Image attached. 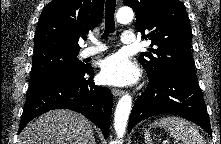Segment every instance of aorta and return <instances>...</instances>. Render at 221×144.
I'll use <instances>...</instances> for the list:
<instances>
[{
	"instance_id": "762f6f07",
	"label": "aorta",
	"mask_w": 221,
	"mask_h": 144,
	"mask_svg": "<svg viewBox=\"0 0 221 144\" xmlns=\"http://www.w3.org/2000/svg\"><path fill=\"white\" fill-rule=\"evenodd\" d=\"M134 12L130 7H122L117 11L116 18L121 24H127L133 20ZM132 98L129 94L123 95L118 101L115 117L114 128L118 138L125 134L127 121L131 112Z\"/></svg>"
}]
</instances>
